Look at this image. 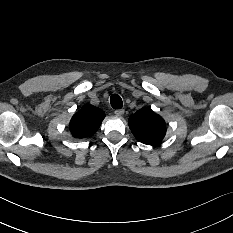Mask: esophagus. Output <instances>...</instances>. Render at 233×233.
Returning <instances> with one entry per match:
<instances>
[{
    "instance_id": "1",
    "label": "esophagus",
    "mask_w": 233,
    "mask_h": 233,
    "mask_svg": "<svg viewBox=\"0 0 233 233\" xmlns=\"http://www.w3.org/2000/svg\"><path fill=\"white\" fill-rule=\"evenodd\" d=\"M115 115H117V116H122L123 114H124V110L123 109H117V110H115Z\"/></svg>"
}]
</instances>
